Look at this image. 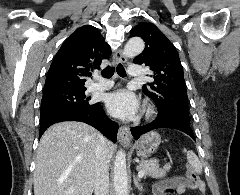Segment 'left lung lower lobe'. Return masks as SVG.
<instances>
[{
    "instance_id": "obj_1",
    "label": "left lung lower lobe",
    "mask_w": 240,
    "mask_h": 195,
    "mask_svg": "<svg viewBox=\"0 0 240 195\" xmlns=\"http://www.w3.org/2000/svg\"><path fill=\"white\" fill-rule=\"evenodd\" d=\"M158 128L177 129L190 135L195 140L190 120L177 115H160L149 124L131 128V133L135 139H138L142 134Z\"/></svg>"
}]
</instances>
